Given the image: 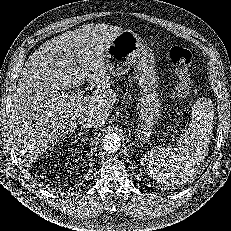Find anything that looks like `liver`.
<instances>
[{"label":"liver","instance_id":"1","mask_svg":"<svg viewBox=\"0 0 231 231\" xmlns=\"http://www.w3.org/2000/svg\"><path fill=\"white\" fill-rule=\"evenodd\" d=\"M122 31L113 25H82L47 40L26 61L8 122L10 142L24 162L53 149L83 115L95 118V129L105 124L116 102L105 51ZM84 81L95 88L91 95L73 101L63 97L62 89H74Z\"/></svg>","mask_w":231,"mask_h":231}]
</instances>
